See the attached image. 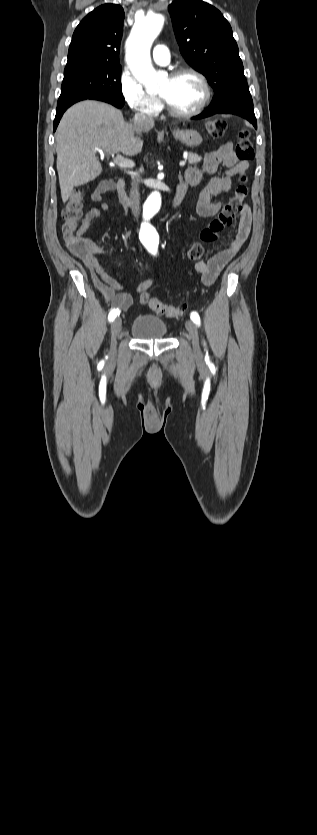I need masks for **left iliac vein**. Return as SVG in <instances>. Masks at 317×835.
Instances as JSON below:
<instances>
[{"instance_id": "1", "label": "left iliac vein", "mask_w": 317, "mask_h": 835, "mask_svg": "<svg viewBox=\"0 0 317 835\" xmlns=\"http://www.w3.org/2000/svg\"><path fill=\"white\" fill-rule=\"evenodd\" d=\"M185 327L188 332V337L192 342L194 353L198 356L200 354V346L197 327L191 320L185 322Z\"/></svg>"}]
</instances>
